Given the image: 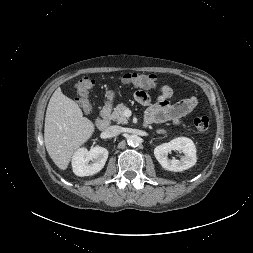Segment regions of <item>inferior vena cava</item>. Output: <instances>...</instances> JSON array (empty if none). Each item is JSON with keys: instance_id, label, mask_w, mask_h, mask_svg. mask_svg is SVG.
<instances>
[{"instance_id": "obj_1", "label": "inferior vena cava", "mask_w": 253, "mask_h": 253, "mask_svg": "<svg viewBox=\"0 0 253 253\" xmlns=\"http://www.w3.org/2000/svg\"><path fill=\"white\" fill-rule=\"evenodd\" d=\"M121 132H122V127H121V126H118V125L110 126V127H108V128L105 130V134H106L108 137H115V136H118L119 134H121Z\"/></svg>"}]
</instances>
